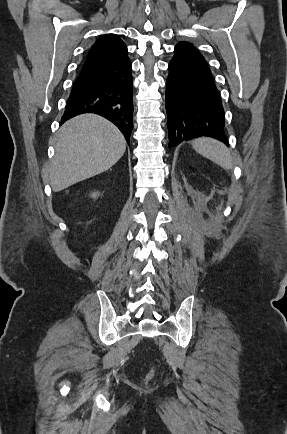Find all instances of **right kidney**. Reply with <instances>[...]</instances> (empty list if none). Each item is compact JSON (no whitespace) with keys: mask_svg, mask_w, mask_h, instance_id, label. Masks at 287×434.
<instances>
[{"mask_svg":"<svg viewBox=\"0 0 287 434\" xmlns=\"http://www.w3.org/2000/svg\"><path fill=\"white\" fill-rule=\"evenodd\" d=\"M98 195H99L98 193L94 192L91 194V197L96 198Z\"/></svg>","mask_w":287,"mask_h":434,"instance_id":"1","label":"right kidney"}]
</instances>
